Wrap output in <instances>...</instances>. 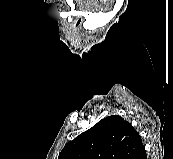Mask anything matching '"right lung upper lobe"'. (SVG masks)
Returning <instances> with one entry per match:
<instances>
[{
	"label": "right lung upper lobe",
	"mask_w": 173,
	"mask_h": 159,
	"mask_svg": "<svg viewBox=\"0 0 173 159\" xmlns=\"http://www.w3.org/2000/svg\"><path fill=\"white\" fill-rule=\"evenodd\" d=\"M145 152L133 126L112 115L68 142L58 159H140Z\"/></svg>",
	"instance_id": "cb5924a9"
}]
</instances>
